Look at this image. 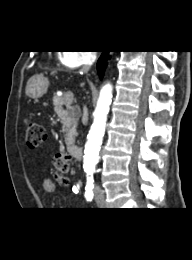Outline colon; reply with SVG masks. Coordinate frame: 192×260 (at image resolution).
<instances>
[{"instance_id": "colon-1", "label": "colon", "mask_w": 192, "mask_h": 260, "mask_svg": "<svg viewBox=\"0 0 192 260\" xmlns=\"http://www.w3.org/2000/svg\"><path fill=\"white\" fill-rule=\"evenodd\" d=\"M25 137L26 143L30 148L39 147L46 138V132L42 125L33 121H25ZM53 167L58 181L62 184L67 183V179L64 174L70 169V160L67 156L63 154H58L55 156L53 161Z\"/></svg>"}]
</instances>
